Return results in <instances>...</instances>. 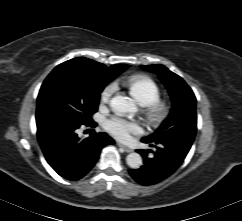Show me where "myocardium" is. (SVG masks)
<instances>
[{"label":"myocardium","mask_w":242,"mask_h":221,"mask_svg":"<svg viewBox=\"0 0 242 221\" xmlns=\"http://www.w3.org/2000/svg\"><path fill=\"white\" fill-rule=\"evenodd\" d=\"M168 111L167 105L159 102H155L149 107L150 118L153 121H161L167 116Z\"/></svg>","instance_id":"obj_1"}]
</instances>
